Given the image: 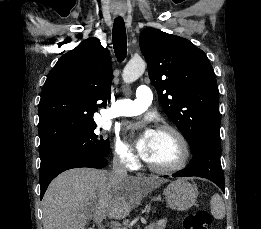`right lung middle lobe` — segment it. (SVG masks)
<instances>
[{
    "label": "right lung middle lobe",
    "instance_id": "right-lung-middle-lobe-1",
    "mask_svg": "<svg viewBox=\"0 0 261 229\" xmlns=\"http://www.w3.org/2000/svg\"><path fill=\"white\" fill-rule=\"evenodd\" d=\"M96 125L83 135L57 145L40 150L41 165L57 160L83 157H107L110 153L109 140L94 133Z\"/></svg>",
    "mask_w": 261,
    "mask_h": 229
}]
</instances>
